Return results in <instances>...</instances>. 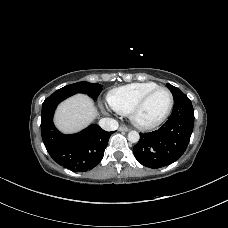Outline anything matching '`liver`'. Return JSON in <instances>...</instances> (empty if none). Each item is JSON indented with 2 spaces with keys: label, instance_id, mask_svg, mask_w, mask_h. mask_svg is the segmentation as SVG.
Segmentation results:
<instances>
[{
  "label": "liver",
  "instance_id": "obj_1",
  "mask_svg": "<svg viewBox=\"0 0 228 228\" xmlns=\"http://www.w3.org/2000/svg\"><path fill=\"white\" fill-rule=\"evenodd\" d=\"M98 116L93 100L83 94L74 95L62 102L54 122L63 133H76L87 127Z\"/></svg>",
  "mask_w": 228,
  "mask_h": 228
}]
</instances>
